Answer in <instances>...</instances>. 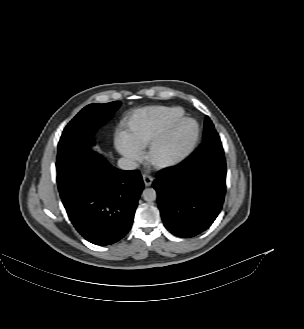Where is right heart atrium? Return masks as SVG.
Listing matches in <instances>:
<instances>
[{"mask_svg": "<svg viewBox=\"0 0 304 329\" xmlns=\"http://www.w3.org/2000/svg\"><path fill=\"white\" fill-rule=\"evenodd\" d=\"M115 140L117 149L122 155L132 159L135 162L142 160V149L135 143L130 133L119 129L116 132Z\"/></svg>", "mask_w": 304, "mask_h": 329, "instance_id": "right-heart-atrium-1", "label": "right heart atrium"}]
</instances>
